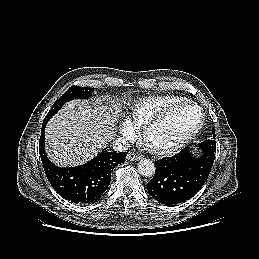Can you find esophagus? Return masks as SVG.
I'll return each instance as SVG.
<instances>
[{"instance_id": "obj_1", "label": "esophagus", "mask_w": 259, "mask_h": 259, "mask_svg": "<svg viewBox=\"0 0 259 259\" xmlns=\"http://www.w3.org/2000/svg\"><path fill=\"white\" fill-rule=\"evenodd\" d=\"M129 161H138L141 159V155L136 154L135 152H129L127 155Z\"/></svg>"}]
</instances>
